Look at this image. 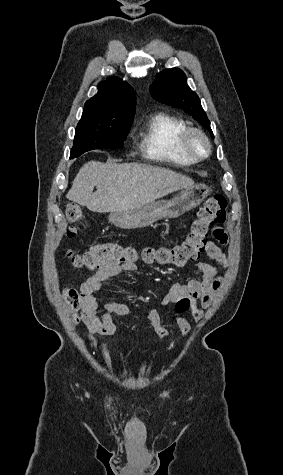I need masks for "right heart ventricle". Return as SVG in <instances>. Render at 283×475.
<instances>
[{"mask_svg": "<svg viewBox=\"0 0 283 475\" xmlns=\"http://www.w3.org/2000/svg\"><path fill=\"white\" fill-rule=\"evenodd\" d=\"M188 127L184 118L166 111H159L138 123L135 133L139 139L141 151L149 159L169 162L161 156L163 146L168 145V151L176 154L180 162H199L188 158L173 146Z\"/></svg>", "mask_w": 283, "mask_h": 475, "instance_id": "obj_1", "label": "right heart ventricle"}]
</instances>
